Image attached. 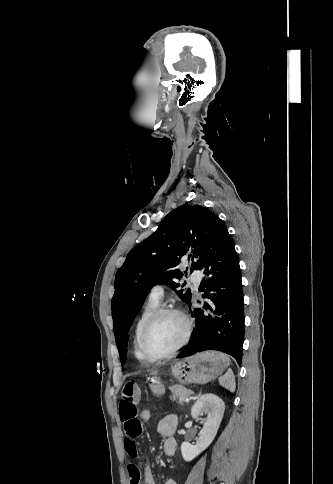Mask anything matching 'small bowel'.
I'll return each mask as SVG.
<instances>
[{"label": "small bowel", "mask_w": 333, "mask_h": 484, "mask_svg": "<svg viewBox=\"0 0 333 484\" xmlns=\"http://www.w3.org/2000/svg\"><path fill=\"white\" fill-rule=\"evenodd\" d=\"M141 391L136 383L128 382L121 391V399L118 405V413L121 422L124 425L126 438L124 447L126 453L131 458H138L135 439L142 433L143 426L138 418L137 405L140 401ZM177 427V417L167 415L162 418L157 426L161 436L165 438L163 451L167 456H173L177 449V442L174 433ZM144 480L141 482V476L138 466L135 463L128 464V474L130 484H155V477L149 462H144L142 467ZM165 484H177L173 479H168Z\"/></svg>", "instance_id": "obj_1"}]
</instances>
